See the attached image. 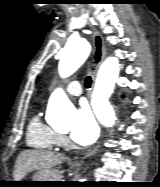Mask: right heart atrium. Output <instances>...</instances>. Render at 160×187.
<instances>
[{
	"label": "right heart atrium",
	"instance_id": "obj_1",
	"mask_svg": "<svg viewBox=\"0 0 160 187\" xmlns=\"http://www.w3.org/2000/svg\"><path fill=\"white\" fill-rule=\"evenodd\" d=\"M69 145V141L68 139L63 136V135H59V146H68Z\"/></svg>",
	"mask_w": 160,
	"mask_h": 187
}]
</instances>
